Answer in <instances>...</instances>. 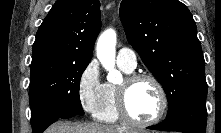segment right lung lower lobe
Instances as JSON below:
<instances>
[{
  "mask_svg": "<svg viewBox=\"0 0 221 133\" xmlns=\"http://www.w3.org/2000/svg\"><path fill=\"white\" fill-rule=\"evenodd\" d=\"M78 115L74 111L67 112L63 115H48L41 113L36 116H31V125L33 133H42L49 125L60 119L71 118Z\"/></svg>",
  "mask_w": 221,
  "mask_h": 133,
  "instance_id": "obj_1",
  "label": "right lung lower lobe"
}]
</instances>
